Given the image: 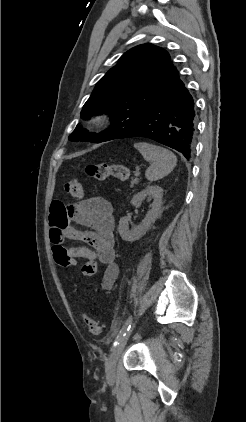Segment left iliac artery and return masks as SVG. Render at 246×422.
Wrapping results in <instances>:
<instances>
[{"label":"left iliac artery","mask_w":246,"mask_h":422,"mask_svg":"<svg viewBox=\"0 0 246 422\" xmlns=\"http://www.w3.org/2000/svg\"><path fill=\"white\" fill-rule=\"evenodd\" d=\"M131 323H132V316H129L128 319L126 320V322L124 323V325L122 326L121 330L119 331V334L117 335V337H116V339L113 343L112 349L114 347H116V345L119 343L121 337L126 335V331H128L130 329Z\"/></svg>","instance_id":"44dca946"}]
</instances>
